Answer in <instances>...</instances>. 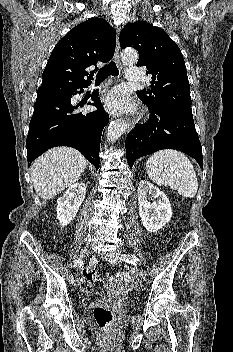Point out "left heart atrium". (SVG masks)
Returning <instances> with one entry per match:
<instances>
[{"label":"left heart atrium","instance_id":"left-heart-atrium-1","mask_svg":"<svg viewBox=\"0 0 233 352\" xmlns=\"http://www.w3.org/2000/svg\"><path fill=\"white\" fill-rule=\"evenodd\" d=\"M106 105L113 112H125L131 109L128 95L120 89H116L108 95Z\"/></svg>","mask_w":233,"mask_h":352}]
</instances>
